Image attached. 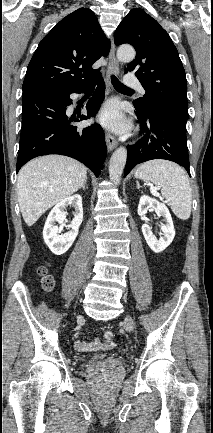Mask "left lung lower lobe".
Wrapping results in <instances>:
<instances>
[{"mask_svg": "<svg viewBox=\"0 0 213 433\" xmlns=\"http://www.w3.org/2000/svg\"><path fill=\"white\" fill-rule=\"evenodd\" d=\"M140 127L145 135L127 146L126 176L137 164L152 159H167L183 166L190 175L186 122L188 117L168 108L140 110L136 106Z\"/></svg>", "mask_w": 213, "mask_h": 433, "instance_id": "0a47b994", "label": "left lung lower lobe"}]
</instances>
